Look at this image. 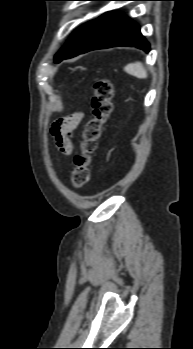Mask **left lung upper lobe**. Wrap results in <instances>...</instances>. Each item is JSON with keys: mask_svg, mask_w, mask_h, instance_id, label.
<instances>
[{"mask_svg": "<svg viewBox=\"0 0 193 349\" xmlns=\"http://www.w3.org/2000/svg\"><path fill=\"white\" fill-rule=\"evenodd\" d=\"M97 1H105V0H97ZM92 22L93 20L85 23L80 28H78L69 38V40L66 42L63 48L56 54L55 59L60 57L62 54L68 52L69 50H71L74 47V45L79 41V39L82 37V35L87 30V28L91 25Z\"/></svg>", "mask_w": 193, "mask_h": 349, "instance_id": "1", "label": "left lung upper lobe"}]
</instances>
